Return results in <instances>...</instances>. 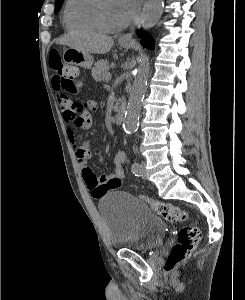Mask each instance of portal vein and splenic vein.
Returning <instances> with one entry per match:
<instances>
[{
  "label": "portal vein and splenic vein",
  "instance_id": "1",
  "mask_svg": "<svg viewBox=\"0 0 245 300\" xmlns=\"http://www.w3.org/2000/svg\"><path fill=\"white\" fill-rule=\"evenodd\" d=\"M111 76H112V75L109 73V74L107 75L108 79H111Z\"/></svg>",
  "mask_w": 245,
  "mask_h": 300
}]
</instances>
